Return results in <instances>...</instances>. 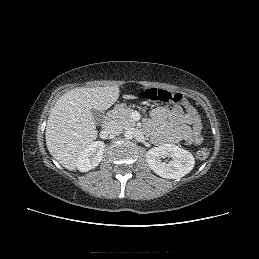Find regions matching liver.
Listing matches in <instances>:
<instances>
[{
  "instance_id": "1",
  "label": "liver",
  "mask_w": 259,
  "mask_h": 259,
  "mask_svg": "<svg viewBox=\"0 0 259 259\" xmlns=\"http://www.w3.org/2000/svg\"><path fill=\"white\" fill-rule=\"evenodd\" d=\"M119 97L118 86L75 88L63 94L50 111L45 131L50 154L66 169L77 168L80 153L98 135L92 110L104 111ZM126 99L133 95H124Z\"/></svg>"
}]
</instances>
